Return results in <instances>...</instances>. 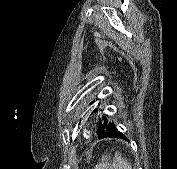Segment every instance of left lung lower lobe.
<instances>
[{"label":"left lung lower lobe","instance_id":"1","mask_svg":"<svg viewBox=\"0 0 177 169\" xmlns=\"http://www.w3.org/2000/svg\"><path fill=\"white\" fill-rule=\"evenodd\" d=\"M99 139H103V138H122V139H126L127 141H129L125 135H123L120 131H118V129L116 128L114 123H111V126H107L105 132L100 135L98 137Z\"/></svg>","mask_w":177,"mask_h":169}]
</instances>
